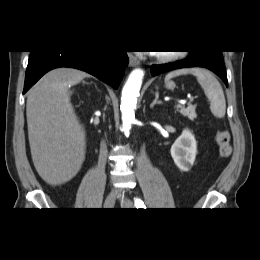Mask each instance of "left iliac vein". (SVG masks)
<instances>
[{
	"mask_svg": "<svg viewBox=\"0 0 260 260\" xmlns=\"http://www.w3.org/2000/svg\"><path fill=\"white\" fill-rule=\"evenodd\" d=\"M121 204L125 208H133L134 206L133 202L128 198H123Z\"/></svg>",
	"mask_w": 260,
	"mask_h": 260,
	"instance_id": "left-iliac-vein-1",
	"label": "left iliac vein"
}]
</instances>
